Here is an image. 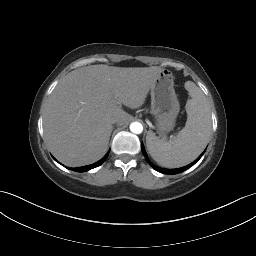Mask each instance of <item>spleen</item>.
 <instances>
[{
	"instance_id": "1",
	"label": "spleen",
	"mask_w": 256,
	"mask_h": 256,
	"mask_svg": "<svg viewBox=\"0 0 256 256\" xmlns=\"http://www.w3.org/2000/svg\"><path fill=\"white\" fill-rule=\"evenodd\" d=\"M191 99L186 103L187 121L177 136L165 141L153 133L146 137L151 157L161 166L178 168L195 160L203 151L211 135V113L202 90L193 82L185 83Z\"/></svg>"
}]
</instances>
